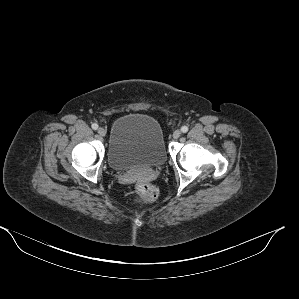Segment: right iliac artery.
Listing matches in <instances>:
<instances>
[{
  "label": "right iliac artery",
  "instance_id": "82829eb1",
  "mask_svg": "<svg viewBox=\"0 0 299 299\" xmlns=\"http://www.w3.org/2000/svg\"><path fill=\"white\" fill-rule=\"evenodd\" d=\"M91 127H92V129H94V130H97V129H98V125H97L96 123H93Z\"/></svg>",
  "mask_w": 299,
  "mask_h": 299
}]
</instances>
